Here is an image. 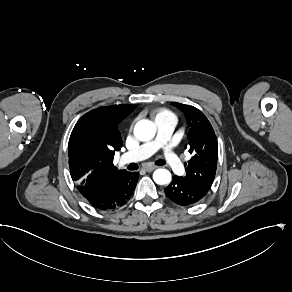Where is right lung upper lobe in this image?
<instances>
[{"mask_svg":"<svg viewBox=\"0 0 292 292\" xmlns=\"http://www.w3.org/2000/svg\"><path fill=\"white\" fill-rule=\"evenodd\" d=\"M136 107H99L78 120L68 144L70 174L78 188L96 187L127 172L118 170L113 158L122 147L118 124Z\"/></svg>","mask_w":292,"mask_h":292,"instance_id":"cb5924a9","label":"right lung upper lobe"}]
</instances>
